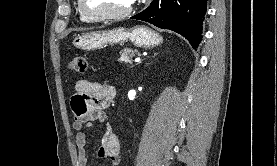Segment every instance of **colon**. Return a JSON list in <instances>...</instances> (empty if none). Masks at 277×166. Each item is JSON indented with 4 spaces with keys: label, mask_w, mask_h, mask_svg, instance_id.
Here are the masks:
<instances>
[{
    "label": "colon",
    "mask_w": 277,
    "mask_h": 166,
    "mask_svg": "<svg viewBox=\"0 0 277 166\" xmlns=\"http://www.w3.org/2000/svg\"><path fill=\"white\" fill-rule=\"evenodd\" d=\"M69 69L70 71L77 74L85 73L87 70V60L85 56L76 55L75 57H73L69 62Z\"/></svg>",
    "instance_id": "obj_1"
}]
</instances>
